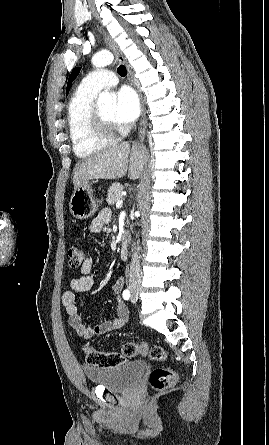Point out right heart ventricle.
I'll list each match as a JSON object with an SVG mask.
<instances>
[{
  "label": "right heart ventricle",
  "mask_w": 269,
  "mask_h": 445,
  "mask_svg": "<svg viewBox=\"0 0 269 445\" xmlns=\"http://www.w3.org/2000/svg\"><path fill=\"white\" fill-rule=\"evenodd\" d=\"M96 95L79 86L73 93L67 108L69 138L75 155L81 159L93 156L113 141L112 137L95 134L91 128V113Z\"/></svg>",
  "instance_id": "1"
}]
</instances>
